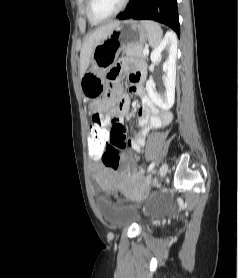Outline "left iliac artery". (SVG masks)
Returning a JSON list of instances; mask_svg holds the SVG:
<instances>
[{"label":"left iliac artery","instance_id":"44dca946","mask_svg":"<svg viewBox=\"0 0 238 278\" xmlns=\"http://www.w3.org/2000/svg\"><path fill=\"white\" fill-rule=\"evenodd\" d=\"M154 166H155V162H152V163L149 165L147 171L150 172V171L154 168Z\"/></svg>","mask_w":238,"mask_h":278}]
</instances>
